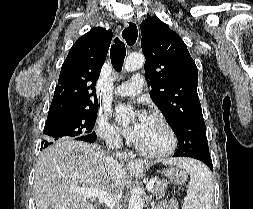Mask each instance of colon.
Instances as JSON below:
<instances>
[{
  "label": "colon",
  "mask_w": 253,
  "mask_h": 209,
  "mask_svg": "<svg viewBox=\"0 0 253 209\" xmlns=\"http://www.w3.org/2000/svg\"><path fill=\"white\" fill-rule=\"evenodd\" d=\"M169 179L174 184H182L186 180V175L183 171H172L169 173Z\"/></svg>",
  "instance_id": "obj_1"
}]
</instances>
